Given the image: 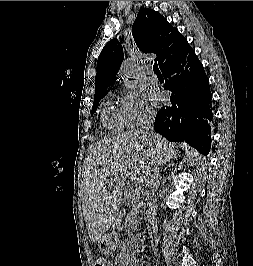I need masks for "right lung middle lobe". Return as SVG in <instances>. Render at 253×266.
I'll list each match as a JSON object with an SVG mask.
<instances>
[{"instance_id": "1", "label": "right lung middle lobe", "mask_w": 253, "mask_h": 266, "mask_svg": "<svg viewBox=\"0 0 253 266\" xmlns=\"http://www.w3.org/2000/svg\"><path fill=\"white\" fill-rule=\"evenodd\" d=\"M104 95H105V94H104ZM104 95H101V96H99V97H97V98H94V103H93V107H92V115H93L94 112L96 111L97 106H98L100 100L104 97Z\"/></svg>"}]
</instances>
